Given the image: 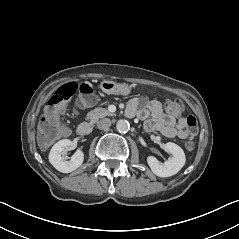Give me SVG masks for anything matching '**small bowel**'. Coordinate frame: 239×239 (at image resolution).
Masks as SVG:
<instances>
[{"label": "small bowel", "mask_w": 239, "mask_h": 239, "mask_svg": "<svg viewBox=\"0 0 239 239\" xmlns=\"http://www.w3.org/2000/svg\"><path fill=\"white\" fill-rule=\"evenodd\" d=\"M127 113L144 120L147 131H157L169 138L185 139L188 136L186 118L164 113L160 102L156 100L136 97L129 102Z\"/></svg>", "instance_id": "1"}]
</instances>
